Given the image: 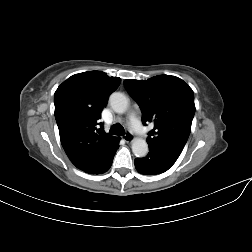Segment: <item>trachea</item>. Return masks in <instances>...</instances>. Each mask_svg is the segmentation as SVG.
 <instances>
[{
	"label": "trachea",
	"instance_id": "obj_1",
	"mask_svg": "<svg viewBox=\"0 0 252 252\" xmlns=\"http://www.w3.org/2000/svg\"><path fill=\"white\" fill-rule=\"evenodd\" d=\"M110 135H118V136H123L124 133V128L120 124H114L112 125L110 131Z\"/></svg>",
	"mask_w": 252,
	"mask_h": 252
}]
</instances>
